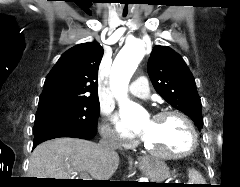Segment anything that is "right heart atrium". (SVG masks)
Returning <instances> with one entry per match:
<instances>
[{"label": "right heart atrium", "instance_id": "1", "mask_svg": "<svg viewBox=\"0 0 240 187\" xmlns=\"http://www.w3.org/2000/svg\"><path fill=\"white\" fill-rule=\"evenodd\" d=\"M100 134L103 141L109 145L119 147L126 146L124 139L117 130L105 119L100 128Z\"/></svg>", "mask_w": 240, "mask_h": 187}]
</instances>
